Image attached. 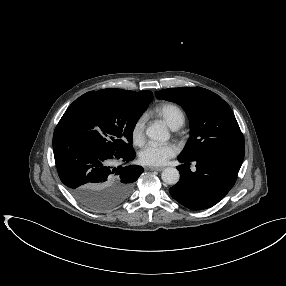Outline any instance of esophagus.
<instances>
[{
    "instance_id": "obj_1",
    "label": "esophagus",
    "mask_w": 286,
    "mask_h": 286,
    "mask_svg": "<svg viewBox=\"0 0 286 286\" xmlns=\"http://www.w3.org/2000/svg\"><path fill=\"white\" fill-rule=\"evenodd\" d=\"M148 169L152 171H162L164 170V167H149Z\"/></svg>"
}]
</instances>
